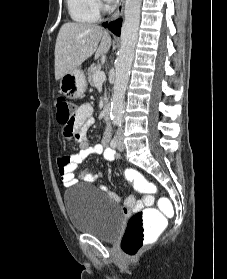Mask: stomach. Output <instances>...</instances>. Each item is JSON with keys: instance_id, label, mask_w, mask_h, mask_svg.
I'll return each mask as SVG.
<instances>
[{"instance_id": "obj_1", "label": "stomach", "mask_w": 227, "mask_h": 279, "mask_svg": "<svg viewBox=\"0 0 227 279\" xmlns=\"http://www.w3.org/2000/svg\"><path fill=\"white\" fill-rule=\"evenodd\" d=\"M86 87V77L79 68L70 71L60 79V92L71 99L79 98Z\"/></svg>"}]
</instances>
